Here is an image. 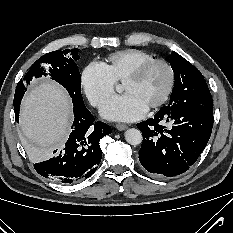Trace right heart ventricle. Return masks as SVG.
<instances>
[{"instance_id": "right-heart-ventricle-1", "label": "right heart ventricle", "mask_w": 233, "mask_h": 233, "mask_svg": "<svg viewBox=\"0 0 233 233\" xmlns=\"http://www.w3.org/2000/svg\"><path fill=\"white\" fill-rule=\"evenodd\" d=\"M154 59L146 51L140 49H125L110 54L104 65L116 81H123L140 64Z\"/></svg>"}]
</instances>
